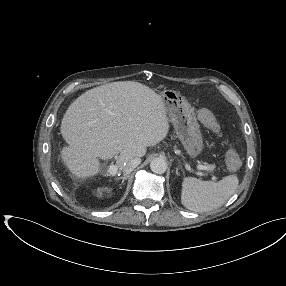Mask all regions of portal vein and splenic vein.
Wrapping results in <instances>:
<instances>
[{"mask_svg": "<svg viewBox=\"0 0 286 286\" xmlns=\"http://www.w3.org/2000/svg\"><path fill=\"white\" fill-rule=\"evenodd\" d=\"M197 168L199 169V170H205V171H209V170H211L208 166H205V165H197ZM108 172L110 173V174H116V172H117V166H115V165H110L109 166V168H108Z\"/></svg>", "mask_w": 286, "mask_h": 286, "instance_id": "1", "label": "portal vein and splenic vein"}]
</instances>
